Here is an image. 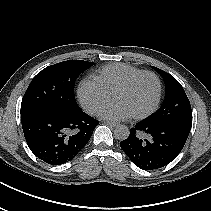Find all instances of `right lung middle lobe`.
<instances>
[{
	"mask_svg": "<svg viewBox=\"0 0 211 211\" xmlns=\"http://www.w3.org/2000/svg\"><path fill=\"white\" fill-rule=\"evenodd\" d=\"M94 63L69 60L40 71L31 81L21 103V115L42 111H78L74 85L80 73Z\"/></svg>",
	"mask_w": 211,
	"mask_h": 211,
	"instance_id": "right-lung-middle-lobe-1",
	"label": "right lung middle lobe"
}]
</instances>
